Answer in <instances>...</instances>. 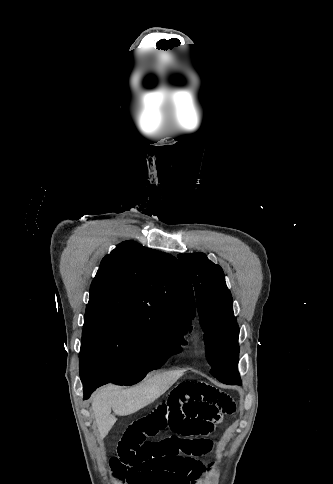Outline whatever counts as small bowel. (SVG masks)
<instances>
[{
  "mask_svg": "<svg viewBox=\"0 0 333 484\" xmlns=\"http://www.w3.org/2000/svg\"><path fill=\"white\" fill-rule=\"evenodd\" d=\"M229 395L204 382L183 381L150 413L131 422L110 464L128 484H198L206 472L199 457L209 453L207 438L224 415L233 414ZM163 431L161 441H147Z\"/></svg>",
  "mask_w": 333,
  "mask_h": 484,
  "instance_id": "obj_1",
  "label": "small bowel"
}]
</instances>
